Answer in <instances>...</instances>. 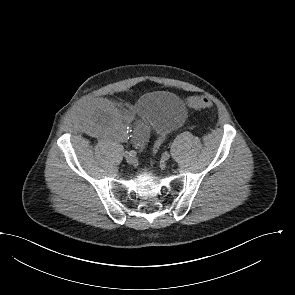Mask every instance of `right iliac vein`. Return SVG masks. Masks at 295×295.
<instances>
[{"mask_svg": "<svg viewBox=\"0 0 295 295\" xmlns=\"http://www.w3.org/2000/svg\"><path fill=\"white\" fill-rule=\"evenodd\" d=\"M124 156H125V159H126L127 163H129V164H133V163L135 162V158H134V156H130V155L127 154V153H125Z\"/></svg>", "mask_w": 295, "mask_h": 295, "instance_id": "right-iliac-vein-1", "label": "right iliac vein"}]
</instances>
